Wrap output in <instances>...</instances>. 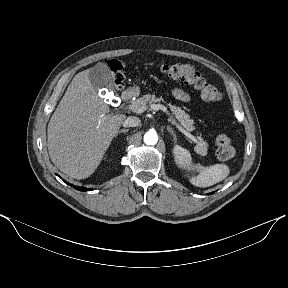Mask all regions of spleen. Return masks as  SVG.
<instances>
[{
  "instance_id": "spleen-1",
  "label": "spleen",
  "mask_w": 288,
  "mask_h": 288,
  "mask_svg": "<svg viewBox=\"0 0 288 288\" xmlns=\"http://www.w3.org/2000/svg\"><path fill=\"white\" fill-rule=\"evenodd\" d=\"M175 163L182 168L190 170L196 167L200 174L190 179L191 183L197 187H209L224 180L230 173L229 167L225 164H215L211 167H203L200 164L193 166L192 157L187 149L179 145L173 148Z\"/></svg>"
}]
</instances>
